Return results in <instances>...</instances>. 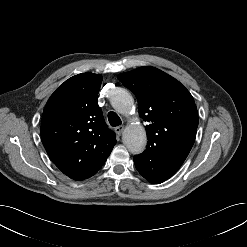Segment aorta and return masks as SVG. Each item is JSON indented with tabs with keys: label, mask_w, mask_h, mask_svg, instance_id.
I'll use <instances>...</instances> for the list:
<instances>
[{
	"label": "aorta",
	"mask_w": 247,
	"mask_h": 247,
	"mask_svg": "<svg viewBox=\"0 0 247 247\" xmlns=\"http://www.w3.org/2000/svg\"><path fill=\"white\" fill-rule=\"evenodd\" d=\"M113 108L122 115H128L134 106L131 94L125 89H117L111 99ZM123 143L132 154L144 151L147 144V135L140 124H129L123 132Z\"/></svg>",
	"instance_id": "1"
}]
</instances>
